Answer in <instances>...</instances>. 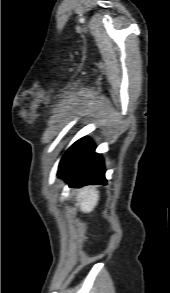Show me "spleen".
Instances as JSON below:
<instances>
[{
	"label": "spleen",
	"mask_w": 170,
	"mask_h": 293,
	"mask_svg": "<svg viewBox=\"0 0 170 293\" xmlns=\"http://www.w3.org/2000/svg\"><path fill=\"white\" fill-rule=\"evenodd\" d=\"M76 200L80 210L84 213L91 212L99 201V192L95 187H85L79 191Z\"/></svg>",
	"instance_id": "spleen-1"
}]
</instances>
